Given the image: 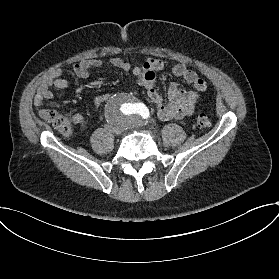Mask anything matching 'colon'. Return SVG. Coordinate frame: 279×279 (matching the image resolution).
Instances as JSON below:
<instances>
[{"mask_svg":"<svg viewBox=\"0 0 279 279\" xmlns=\"http://www.w3.org/2000/svg\"><path fill=\"white\" fill-rule=\"evenodd\" d=\"M39 118L52 124L61 134L69 136L72 134L70 130L71 118L67 111L57 112L54 110H45L39 113ZM210 125L209 116L205 113H200L196 117V127L199 130H205Z\"/></svg>","mask_w":279,"mask_h":279,"instance_id":"5ec220e1","label":"colon"}]
</instances>
